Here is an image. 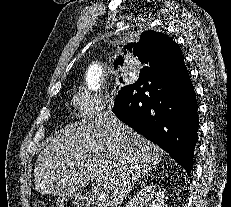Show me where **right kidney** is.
Segmentation results:
<instances>
[{
	"label": "right kidney",
	"instance_id": "right-kidney-1",
	"mask_svg": "<svg viewBox=\"0 0 231 207\" xmlns=\"http://www.w3.org/2000/svg\"><path fill=\"white\" fill-rule=\"evenodd\" d=\"M164 192L152 184L145 185L130 199L125 207H163Z\"/></svg>",
	"mask_w": 231,
	"mask_h": 207
}]
</instances>
